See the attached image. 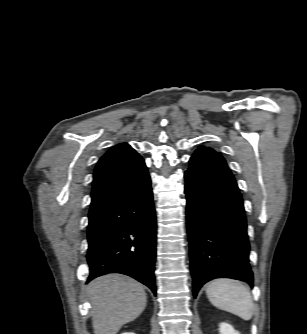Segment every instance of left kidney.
Returning a JSON list of instances; mask_svg holds the SVG:
<instances>
[{
    "label": "left kidney",
    "instance_id": "left-kidney-1",
    "mask_svg": "<svg viewBox=\"0 0 307 334\" xmlns=\"http://www.w3.org/2000/svg\"><path fill=\"white\" fill-rule=\"evenodd\" d=\"M220 334H240L230 324L222 322L219 325Z\"/></svg>",
    "mask_w": 307,
    "mask_h": 334
}]
</instances>
